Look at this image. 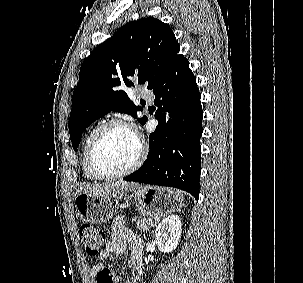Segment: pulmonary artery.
Instances as JSON below:
<instances>
[{
    "label": "pulmonary artery",
    "instance_id": "obj_1",
    "mask_svg": "<svg viewBox=\"0 0 303 283\" xmlns=\"http://www.w3.org/2000/svg\"><path fill=\"white\" fill-rule=\"evenodd\" d=\"M140 94L144 99L148 101H152L154 99V93L150 90L142 89Z\"/></svg>",
    "mask_w": 303,
    "mask_h": 283
}]
</instances>
